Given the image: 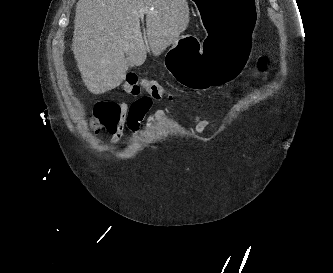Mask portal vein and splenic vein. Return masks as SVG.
<instances>
[{"label":"portal vein and splenic vein","instance_id":"1","mask_svg":"<svg viewBox=\"0 0 333 273\" xmlns=\"http://www.w3.org/2000/svg\"><path fill=\"white\" fill-rule=\"evenodd\" d=\"M151 10H153V8H152ZM145 11H146V9H145V8H142V9L140 10L141 15H143V13H144Z\"/></svg>","mask_w":333,"mask_h":273}]
</instances>
